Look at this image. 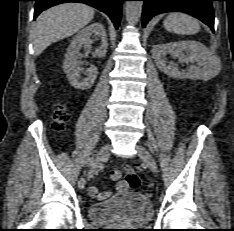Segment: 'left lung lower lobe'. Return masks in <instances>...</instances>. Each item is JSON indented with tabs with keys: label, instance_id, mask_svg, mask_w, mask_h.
<instances>
[{
	"label": "left lung lower lobe",
	"instance_id": "0a47b994",
	"mask_svg": "<svg viewBox=\"0 0 234 231\" xmlns=\"http://www.w3.org/2000/svg\"><path fill=\"white\" fill-rule=\"evenodd\" d=\"M144 8L142 13V24L145 26L147 22L155 15L180 11L190 14L206 25L214 32V11L212 1L215 0H142Z\"/></svg>",
	"mask_w": 234,
	"mask_h": 231
}]
</instances>
